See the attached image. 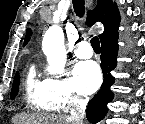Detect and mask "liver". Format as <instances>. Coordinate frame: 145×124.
<instances>
[{
	"mask_svg": "<svg viewBox=\"0 0 145 124\" xmlns=\"http://www.w3.org/2000/svg\"><path fill=\"white\" fill-rule=\"evenodd\" d=\"M13 124H75L64 116L46 114H20L13 118Z\"/></svg>",
	"mask_w": 145,
	"mask_h": 124,
	"instance_id": "obj_1",
	"label": "liver"
}]
</instances>
